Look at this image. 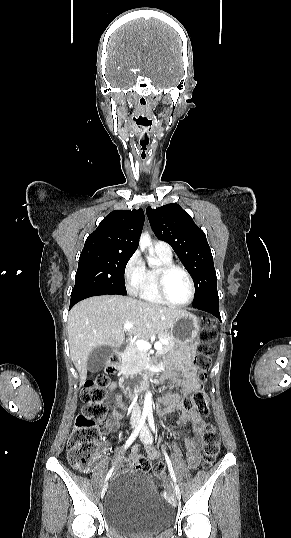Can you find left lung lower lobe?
I'll return each instance as SVG.
<instances>
[{
  "mask_svg": "<svg viewBox=\"0 0 291 538\" xmlns=\"http://www.w3.org/2000/svg\"><path fill=\"white\" fill-rule=\"evenodd\" d=\"M218 303H219V297L217 295V296L209 297L203 302H200L197 304L193 303L192 306L193 308L209 312L221 320Z\"/></svg>",
  "mask_w": 291,
  "mask_h": 538,
  "instance_id": "0a47b994",
  "label": "left lung lower lobe"
}]
</instances>
